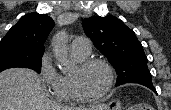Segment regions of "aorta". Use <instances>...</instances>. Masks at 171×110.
<instances>
[{"label": "aorta", "mask_w": 171, "mask_h": 110, "mask_svg": "<svg viewBox=\"0 0 171 110\" xmlns=\"http://www.w3.org/2000/svg\"><path fill=\"white\" fill-rule=\"evenodd\" d=\"M52 50L61 71H67L70 68L68 60V47L66 37L63 35L57 36L52 42Z\"/></svg>", "instance_id": "aorta-1"}]
</instances>
